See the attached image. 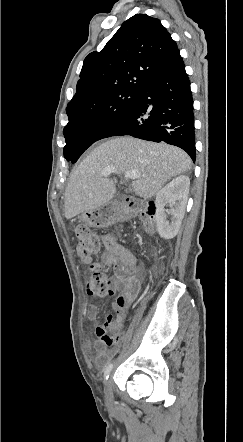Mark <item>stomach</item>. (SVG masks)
Instances as JSON below:
<instances>
[{"mask_svg":"<svg viewBox=\"0 0 243 442\" xmlns=\"http://www.w3.org/2000/svg\"><path fill=\"white\" fill-rule=\"evenodd\" d=\"M80 219L91 227L103 228L114 224L119 219V212L112 203H109L82 213Z\"/></svg>","mask_w":243,"mask_h":442,"instance_id":"stomach-1","label":"stomach"}]
</instances>
